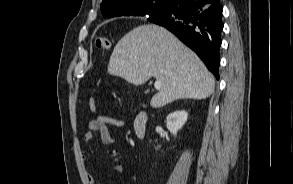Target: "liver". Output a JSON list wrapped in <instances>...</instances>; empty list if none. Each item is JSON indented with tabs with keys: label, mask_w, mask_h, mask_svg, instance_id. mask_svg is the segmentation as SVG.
<instances>
[{
	"label": "liver",
	"mask_w": 293,
	"mask_h": 184,
	"mask_svg": "<svg viewBox=\"0 0 293 184\" xmlns=\"http://www.w3.org/2000/svg\"><path fill=\"white\" fill-rule=\"evenodd\" d=\"M108 73L142 85L152 76L161 83L151 106L162 107L178 99H205L215 78L198 56L167 29L145 24L135 27L116 44Z\"/></svg>",
	"instance_id": "obj_1"
}]
</instances>
